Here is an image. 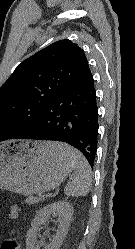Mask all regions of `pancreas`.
Masks as SVG:
<instances>
[{"label": "pancreas", "mask_w": 135, "mask_h": 249, "mask_svg": "<svg viewBox=\"0 0 135 249\" xmlns=\"http://www.w3.org/2000/svg\"><path fill=\"white\" fill-rule=\"evenodd\" d=\"M43 199L41 197H34V196H30L26 199V203L27 204H35V203H38L40 201H42Z\"/></svg>", "instance_id": "cf45deb5"}]
</instances>
